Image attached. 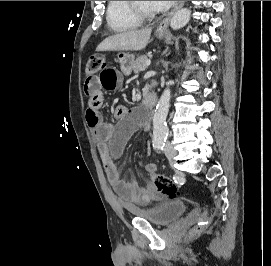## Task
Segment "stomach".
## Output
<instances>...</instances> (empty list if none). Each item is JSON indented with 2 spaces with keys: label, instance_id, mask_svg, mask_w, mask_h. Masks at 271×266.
<instances>
[{
  "label": "stomach",
  "instance_id": "0dacf381",
  "mask_svg": "<svg viewBox=\"0 0 271 266\" xmlns=\"http://www.w3.org/2000/svg\"><path fill=\"white\" fill-rule=\"evenodd\" d=\"M165 34L164 33H158L156 32V37L159 39L164 38ZM120 66H121V71L125 74L128 75L130 74L131 70H132V66L135 62V56L133 54L130 53H124V52H120L117 55Z\"/></svg>",
  "mask_w": 271,
  "mask_h": 266
}]
</instances>
